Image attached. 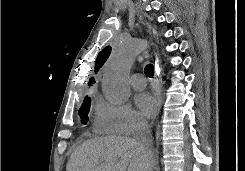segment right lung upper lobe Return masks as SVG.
<instances>
[{
    "label": "right lung upper lobe",
    "instance_id": "1",
    "mask_svg": "<svg viewBox=\"0 0 245 171\" xmlns=\"http://www.w3.org/2000/svg\"><path fill=\"white\" fill-rule=\"evenodd\" d=\"M95 83V80L93 78H90V82L88 83L90 86Z\"/></svg>",
    "mask_w": 245,
    "mask_h": 171
}]
</instances>
